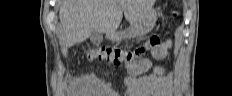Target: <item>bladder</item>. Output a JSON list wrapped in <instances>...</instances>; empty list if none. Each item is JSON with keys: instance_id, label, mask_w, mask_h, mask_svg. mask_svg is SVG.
<instances>
[{"instance_id": "obj_1", "label": "bladder", "mask_w": 232, "mask_h": 96, "mask_svg": "<svg viewBox=\"0 0 232 96\" xmlns=\"http://www.w3.org/2000/svg\"><path fill=\"white\" fill-rule=\"evenodd\" d=\"M74 88L75 89H79L80 87L78 85H74Z\"/></svg>"}]
</instances>
